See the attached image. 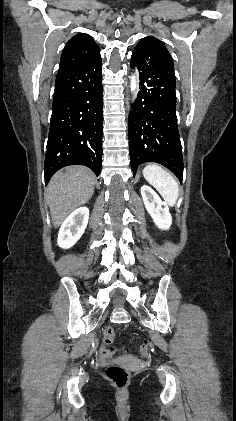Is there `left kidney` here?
Instances as JSON below:
<instances>
[{"label": "left kidney", "instance_id": "obj_1", "mask_svg": "<svg viewBox=\"0 0 236 421\" xmlns=\"http://www.w3.org/2000/svg\"><path fill=\"white\" fill-rule=\"evenodd\" d=\"M141 194L147 211L151 215L155 225H157L158 229H162V231H168L172 225V217L166 202H163L157 192L151 186H147V184L141 186Z\"/></svg>", "mask_w": 236, "mask_h": 421}]
</instances>
